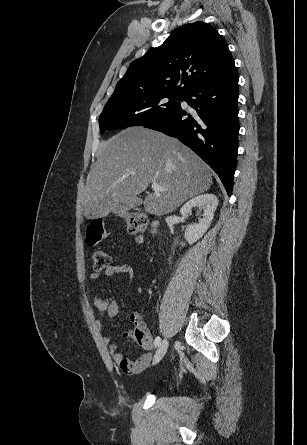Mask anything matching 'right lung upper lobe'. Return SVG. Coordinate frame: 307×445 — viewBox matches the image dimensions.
Wrapping results in <instances>:
<instances>
[{"label":"right lung upper lobe","instance_id":"right-lung-upper-lobe-1","mask_svg":"<svg viewBox=\"0 0 307 445\" xmlns=\"http://www.w3.org/2000/svg\"><path fill=\"white\" fill-rule=\"evenodd\" d=\"M234 64L226 41L201 21L176 29L165 42L134 60L112 97L185 95ZM183 84L177 86L178 82Z\"/></svg>","mask_w":307,"mask_h":445}]
</instances>
